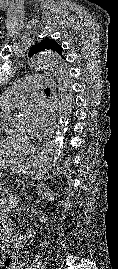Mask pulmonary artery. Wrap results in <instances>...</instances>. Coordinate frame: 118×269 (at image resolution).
<instances>
[{"label": "pulmonary artery", "mask_w": 118, "mask_h": 269, "mask_svg": "<svg viewBox=\"0 0 118 269\" xmlns=\"http://www.w3.org/2000/svg\"><path fill=\"white\" fill-rule=\"evenodd\" d=\"M49 86L44 76L24 77L16 81L0 96V109L10 111L23 102L30 90H41Z\"/></svg>", "instance_id": "1"}]
</instances>
